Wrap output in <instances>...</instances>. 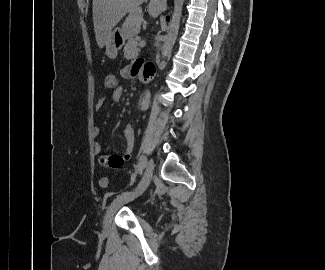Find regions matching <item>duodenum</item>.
Segmentation results:
<instances>
[{"instance_id":"410a0bca","label":"duodenum","mask_w":325,"mask_h":270,"mask_svg":"<svg viewBox=\"0 0 325 270\" xmlns=\"http://www.w3.org/2000/svg\"><path fill=\"white\" fill-rule=\"evenodd\" d=\"M143 81H146L147 79H145L144 77L142 78Z\"/></svg>"}]
</instances>
